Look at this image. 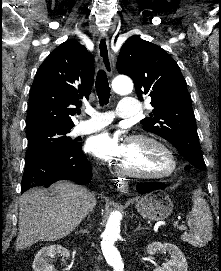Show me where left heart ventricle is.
<instances>
[{
  "mask_svg": "<svg viewBox=\"0 0 221 271\" xmlns=\"http://www.w3.org/2000/svg\"><path fill=\"white\" fill-rule=\"evenodd\" d=\"M135 141H151L146 138H140ZM138 156H161L156 152H132V156L129 157V168H147V169H161L162 165H158L157 161H145L144 159H138Z\"/></svg>",
  "mask_w": 221,
  "mask_h": 271,
  "instance_id": "left-heart-ventricle-1",
  "label": "left heart ventricle"
}]
</instances>
